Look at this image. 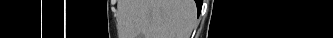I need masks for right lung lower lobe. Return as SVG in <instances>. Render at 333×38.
<instances>
[{
  "instance_id": "obj_1",
  "label": "right lung lower lobe",
  "mask_w": 333,
  "mask_h": 38,
  "mask_svg": "<svg viewBox=\"0 0 333 38\" xmlns=\"http://www.w3.org/2000/svg\"><path fill=\"white\" fill-rule=\"evenodd\" d=\"M196 3H197V1H196ZM197 6H198V3H197ZM199 7H200V3H199Z\"/></svg>"
}]
</instances>
